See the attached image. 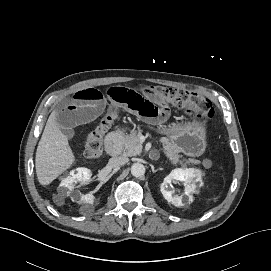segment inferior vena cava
Segmentation results:
<instances>
[{"instance_id":"inferior-vena-cava-1","label":"inferior vena cava","mask_w":271,"mask_h":271,"mask_svg":"<svg viewBox=\"0 0 271 271\" xmlns=\"http://www.w3.org/2000/svg\"><path fill=\"white\" fill-rule=\"evenodd\" d=\"M128 162L127 157L119 156V157H113L109 160V165L113 168L122 166Z\"/></svg>"}]
</instances>
